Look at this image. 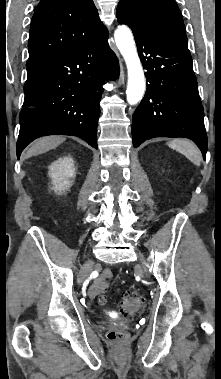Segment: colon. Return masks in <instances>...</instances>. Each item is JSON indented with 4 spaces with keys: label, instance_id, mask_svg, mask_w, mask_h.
I'll return each mask as SVG.
<instances>
[{
    "label": "colon",
    "instance_id": "1",
    "mask_svg": "<svg viewBox=\"0 0 221 379\" xmlns=\"http://www.w3.org/2000/svg\"><path fill=\"white\" fill-rule=\"evenodd\" d=\"M103 292L98 296V303L101 305L106 304L107 297L104 291L107 288L105 281L101 282ZM144 298L137 293H125L120 302V310L122 313L127 314L136 311L143 303ZM107 338L113 342H124L128 338V333L121 329H111L107 333Z\"/></svg>",
    "mask_w": 221,
    "mask_h": 379
}]
</instances>
